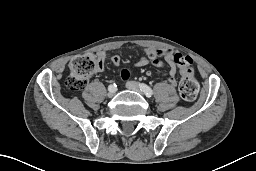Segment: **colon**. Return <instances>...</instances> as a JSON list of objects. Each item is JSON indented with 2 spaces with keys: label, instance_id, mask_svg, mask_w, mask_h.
Returning <instances> with one entry per match:
<instances>
[{
  "label": "colon",
  "instance_id": "1",
  "mask_svg": "<svg viewBox=\"0 0 256 171\" xmlns=\"http://www.w3.org/2000/svg\"><path fill=\"white\" fill-rule=\"evenodd\" d=\"M177 64L182 72V79L178 89L182 99L191 102L197 98L198 83L194 77V64L189 56L179 55ZM103 65L97 54L89 53L73 58L69 64L70 75L66 81V86L72 91H78L84 87L89 76L99 70ZM130 76L129 70H123L124 80Z\"/></svg>",
  "mask_w": 256,
  "mask_h": 171
}]
</instances>
